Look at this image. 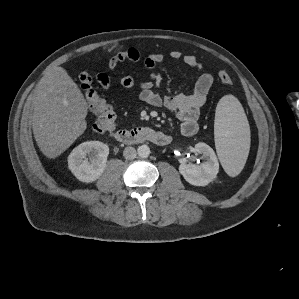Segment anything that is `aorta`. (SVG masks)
Here are the masks:
<instances>
[{"label": "aorta", "mask_w": 299, "mask_h": 299, "mask_svg": "<svg viewBox=\"0 0 299 299\" xmlns=\"http://www.w3.org/2000/svg\"><path fill=\"white\" fill-rule=\"evenodd\" d=\"M138 156L141 158H147L150 155V148L147 145H141L137 149Z\"/></svg>", "instance_id": "obj_1"}]
</instances>
